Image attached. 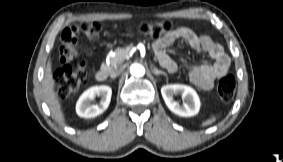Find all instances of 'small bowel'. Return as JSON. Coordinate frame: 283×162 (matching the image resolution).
<instances>
[{"label": "small bowel", "instance_id": "c3829d8e", "mask_svg": "<svg viewBox=\"0 0 283 162\" xmlns=\"http://www.w3.org/2000/svg\"><path fill=\"white\" fill-rule=\"evenodd\" d=\"M178 39H184L196 52L207 53L212 58V64H198L193 66L189 72L190 80L194 85L202 90L212 89L216 79L225 76L230 67V58L224 52L223 47L207 35H198L191 28L180 27L172 30L153 44L160 65L169 72H175L178 66L165 52V48Z\"/></svg>", "mask_w": 283, "mask_h": 162}]
</instances>
